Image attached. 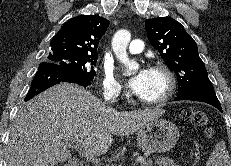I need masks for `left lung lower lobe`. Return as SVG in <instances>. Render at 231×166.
I'll use <instances>...</instances> for the list:
<instances>
[{
	"mask_svg": "<svg viewBox=\"0 0 231 166\" xmlns=\"http://www.w3.org/2000/svg\"><path fill=\"white\" fill-rule=\"evenodd\" d=\"M179 100L205 102L216 107L218 110L222 111L221 104L214 91H207V92L189 91L178 95L174 99V101H179Z\"/></svg>",
	"mask_w": 231,
	"mask_h": 166,
	"instance_id": "1",
	"label": "left lung lower lobe"
}]
</instances>
